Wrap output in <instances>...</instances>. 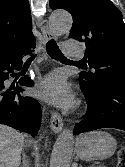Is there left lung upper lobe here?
<instances>
[{"instance_id": "5c2ea615", "label": "left lung upper lobe", "mask_w": 125, "mask_h": 167, "mask_svg": "<svg viewBox=\"0 0 125 167\" xmlns=\"http://www.w3.org/2000/svg\"><path fill=\"white\" fill-rule=\"evenodd\" d=\"M52 9H65L73 17L70 37L86 44L93 72L80 73L84 93L92 95L103 84L125 83V24L110 0H50Z\"/></svg>"}]
</instances>
